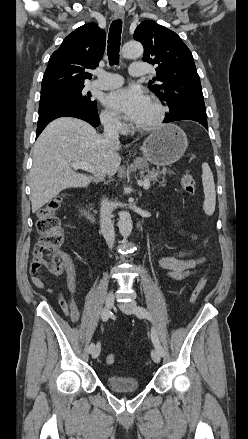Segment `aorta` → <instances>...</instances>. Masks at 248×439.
<instances>
[{
  "label": "aorta",
  "mask_w": 248,
  "mask_h": 439,
  "mask_svg": "<svg viewBox=\"0 0 248 439\" xmlns=\"http://www.w3.org/2000/svg\"><path fill=\"white\" fill-rule=\"evenodd\" d=\"M143 54V46L141 43L137 41H130L124 44L122 48V55L125 58H137ZM119 232L123 237L129 236L133 223L131 219V215L128 211H121L119 214L118 221Z\"/></svg>",
  "instance_id": "1"
}]
</instances>
